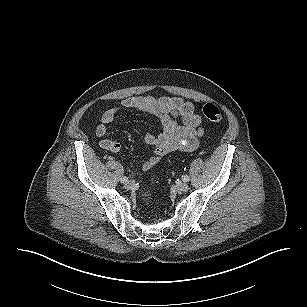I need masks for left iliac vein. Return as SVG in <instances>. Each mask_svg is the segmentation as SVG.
<instances>
[{
	"label": "left iliac vein",
	"mask_w": 307,
	"mask_h": 307,
	"mask_svg": "<svg viewBox=\"0 0 307 307\" xmlns=\"http://www.w3.org/2000/svg\"><path fill=\"white\" fill-rule=\"evenodd\" d=\"M176 188L180 192H187L189 189V186L186 183L179 182L177 183Z\"/></svg>",
	"instance_id": "1"
}]
</instances>
